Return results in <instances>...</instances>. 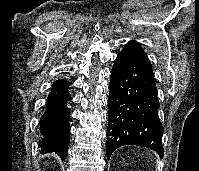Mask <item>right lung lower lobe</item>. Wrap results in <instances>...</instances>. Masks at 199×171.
I'll return each mask as SVG.
<instances>
[{"label": "right lung lower lobe", "mask_w": 199, "mask_h": 171, "mask_svg": "<svg viewBox=\"0 0 199 171\" xmlns=\"http://www.w3.org/2000/svg\"><path fill=\"white\" fill-rule=\"evenodd\" d=\"M70 83L59 79L53 83L48 96L46 112L40 118V131L43 135L41 153L55 152L62 160L67 156L70 127V112L65 104L70 101Z\"/></svg>", "instance_id": "right-lung-lower-lobe-1"}]
</instances>
